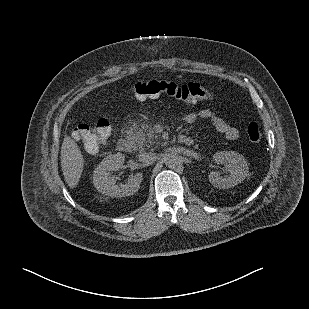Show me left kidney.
Segmentation results:
<instances>
[{
  "mask_svg": "<svg viewBox=\"0 0 309 309\" xmlns=\"http://www.w3.org/2000/svg\"><path fill=\"white\" fill-rule=\"evenodd\" d=\"M217 163L225 165V172L222 176L220 172L209 174L210 183L219 189H228L243 182L249 175V167L245 157L235 151H221L213 156Z\"/></svg>",
  "mask_w": 309,
  "mask_h": 309,
  "instance_id": "5707ae66",
  "label": "left kidney"
}]
</instances>
